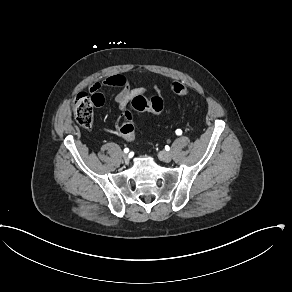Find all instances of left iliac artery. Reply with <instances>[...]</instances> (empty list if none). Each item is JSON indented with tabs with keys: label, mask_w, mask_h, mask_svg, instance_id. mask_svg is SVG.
Masks as SVG:
<instances>
[{
	"label": "left iliac artery",
	"mask_w": 292,
	"mask_h": 292,
	"mask_svg": "<svg viewBox=\"0 0 292 292\" xmlns=\"http://www.w3.org/2000/svg\"><path fill=\"white\" fill-rule=\"evenodd\" d=\"M176 134H177V135H181V134H182V131H181L180 129H177V130H176Z\"/></svg>",
	"instance_id": "left-iliac-artery-1"
}]
</instances>
